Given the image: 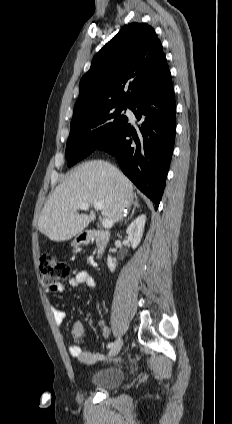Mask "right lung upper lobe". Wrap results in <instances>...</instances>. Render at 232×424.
<instances>
[{"label":"right lung upper lobe","mask_w":232,"mask_h":424,"mask_svg":"<svg viewBox=\"0 0 232 424\" xmlns=\"http://www.w3.org/2000/svg\"><path fill=\"white\" fill-rule=\"evenodd\" d=\"M169 71L160 40L146 23L125 25L81 78L73 118L98 107L131 106Z\"/></svg>","instance_id":"right-lung-upper-lobe-1"}]
</instances>
